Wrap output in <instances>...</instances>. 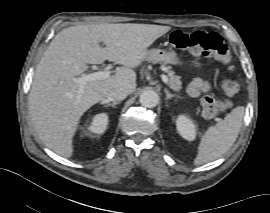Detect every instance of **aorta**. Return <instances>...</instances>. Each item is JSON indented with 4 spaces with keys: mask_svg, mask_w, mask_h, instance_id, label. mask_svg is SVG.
<instances>
[{
    "mask_svg": "<svg viewBox=\"0 0 270 213\" xmlns=\"http://www.w3.org/2000/svg\"><path fill=\"white\" fill-rule=\"evenodd\" d=\"M140 104L146 108H153L159 102V96L154 90H145L139 98Z\"/></svg>",
    "mask_w": 270,
    "mask_h": 213,
    "instance_id": "obj_1",
    "label": "aorta"
}]
</instances>
